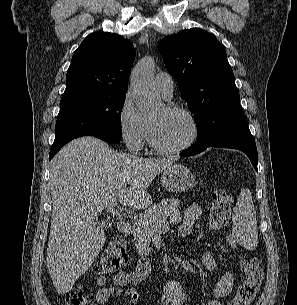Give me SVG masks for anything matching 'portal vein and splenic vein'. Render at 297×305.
Masks as SVG:
<instances>
[{
    "label": "portal vein and splenic vein",
    "mask_w": 297,
    "mask_h": 305,
    "mask_svg": "<svg viewBox=\"0 0 297 305\" xmlns=\"http://www.w3.org/2000/svg\"><path fill=\"white\" fill-rule=\"evenodd\" d=\"M107 211H109L113 215L126 216V214H124L123 210L116 209L115 205L108 206Z\"/></svg>",
    "instance_id": "18ae733b"
}]
</instances>
